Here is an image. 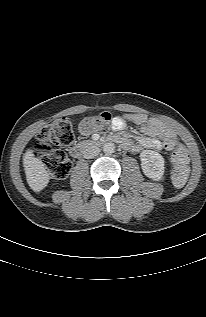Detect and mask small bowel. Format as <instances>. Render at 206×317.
I'll list each match as a JSON object with an SVG mask.
<instances>
[{
	"mask_svg": "<svg viewBox=\"0 0 206 317\" xmlns=\"http://www.w3.org/2000/svg\"><path fill=\"white\" fill-rule=\"evenodd\" d=\"M138 125L143 135L138 138L137 144L133 145L128 138L123 139V147L134 152L142 149L159 150L163 143L175 139L173 131L157 119L150 118L143 113L124 114L112 119L111 128L114 131L123 130L127 123Z\"/></svg>",
	"mask_w": 206,
	"mask_h": 317,
	"instance_id": "small-bowel-1",
	"label": "small bowel"
}]
</instances>
